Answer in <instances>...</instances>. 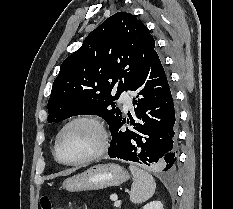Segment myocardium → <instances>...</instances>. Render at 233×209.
Here are the masks:
<instances>
[{"label":"myocardium","mask_w":233,"mask_h":209,"mask_svg":"<svg viewBox=\"0 0 233 209\" xmlns=\"http://www.w3.org/2000/svg\"><path fill=\"white\" fill-rule=\"evenodd\" d=\"M80 122L90 123L98 130L99 137H100L99 145L93 153H91V154H89L81 159H78L75 161H66V160L62 159L60 154H59L60 139H61L62 135L64 134V132L70 126H72L73 124H76V123H80ZM108 144H109L108 132L106 130V127H105L103 121L98 116L91 115V114L78 115V116H75L72 119H70L68 122H66L62 126L60 131L58 132L56 139H55V143H54V156H55L56 160L61 164H64L67 166H78V165L89 163V162L101 157L106 152V150L108 148Z\"/></svg>","instance_id":"f54148a6"}]
</instances>
